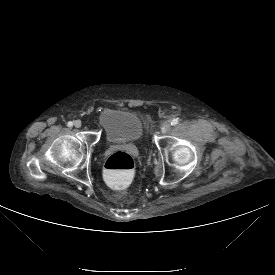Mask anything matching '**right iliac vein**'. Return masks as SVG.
I'll return each instance as SVG.
<instances>
[{
  "mask_svg": "<svg viewBox=\"0 0 275 275\" xmlns=\"http://www.w3.org/2000/svg\"><path fill=\"white\" fill-rule=\"evenodd\" d=\"M81 121L80 120H76L75 122H74V126L76 127V128H80L81 127Z\"/></svg>",
  "mask_w": 275,
  "mask_h": 275,
  "instance_id": "right-iliac-vein-1",
  "label": "right iliac vein"
}]
</instances>
